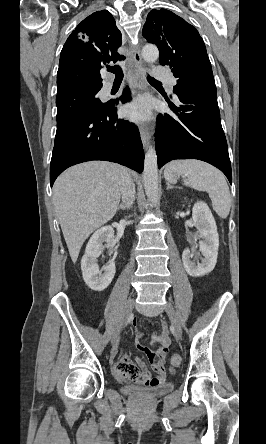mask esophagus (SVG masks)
<instances>
[{"instance_id":"esophagus-1","label":"esophagus","mask_w":266,"mask_h":444,"mask_svg":"<svg viewBox=\"0 0 266 444\" xmlns=\"http://www.w3.org/2000/svg\"><path fill=\"white\" fill-rule=\"evenodd\" d=\"M132 66L136 76L141 78L143 72V62L139 47H135L132 50ZM139 130L143 146L144 148H147L151 138L150 131L146 126L143 125L140 126Z\"/></svg>"}]
</instances>
